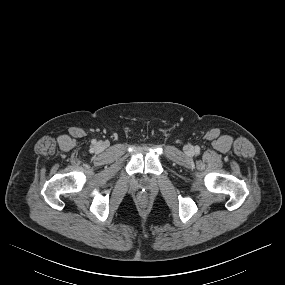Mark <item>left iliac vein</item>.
<instances>
[{
  "mask_svg": "<svg viewBox=\"0 0 285 285\" xmlns=\"http://www.w3.org/2000/svg\"><path fill=\"white\" fill-rule=\"evenodd\" d=\"M185 151L187 154L191 155L193 153V148L191 146H187Z\"/></svg>",
  "mask_w": 285,
  "mask_h": 285,
  "instance_id": "left-iliac-vein-1",
  "label": "left iliac vein"
}]
</instances>
